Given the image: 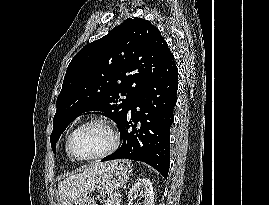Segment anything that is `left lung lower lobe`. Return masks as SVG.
<instances>
[{"mask_svg":"<svg viewBox=\"0 0 269 205\" xmlns=\"http://www.w3.org/2000/svg\"><path fill=\"white\" fill-rule=\"evenodd\" d=\"M177 89L178 69L171 53L157 75L138 93L119 126L122 146L102 161L122 158L142 161L167 178Z\"/></svg>","mask_w":269,"mask_h":205,"instance_id":"0a47b994","label":"left lung lower lobe"}]
</instances>
